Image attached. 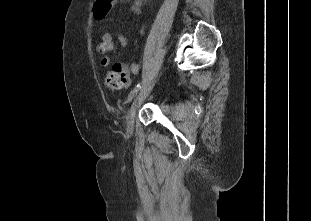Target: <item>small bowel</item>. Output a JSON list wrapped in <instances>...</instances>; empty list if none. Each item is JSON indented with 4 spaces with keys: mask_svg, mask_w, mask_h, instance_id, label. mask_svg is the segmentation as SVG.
I'll use <instances>...</instances> for the list:
<instances>
[{
    "mask_svg": "<svg viewBox=\"0 0 311 221\" xmlns=\"http://www.w3.org/2000/svg\"><path fill=\"white\" fill-rule=\"evenodd\" d=\"M118 0H114V2H117ZM122 2H128L129 0H120ZM141 4H142V0H133L132 1V10L135 14L140 15L141 14ZM116 37L118 39L119 42V50H124L128 44V40L127 38L117 32L116 33ZM97 46H110V51H112L114 49V43H113V36L110 32H105L103 33L102 37H101V41ZM100 56V66L102 68H106L108 67L110 60L107 56V53H98ZM125 71L128 75V79H129V75L132 74H137L139 71V66L137 63L135 62H129L126 66H124ZM129 84V83H128Z\"/></svg>",
    "mask_w": 311,
    "mask_h": 221,
    "instance_id": "obj_1",
    "label": "small bowel"
}]
</instances>
